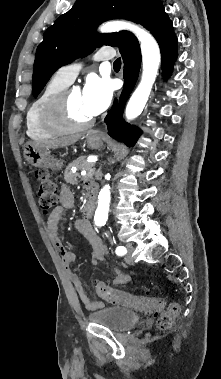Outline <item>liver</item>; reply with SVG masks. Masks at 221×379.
<instances>
[{
	"label": "liver",
	"mask_w": 221,
	"mask_h": 379,
	"mask_svg": "<svg viewBox=\"0 0 221 379\" xmlns=\"http://www.w3.org/2000/svg\"><path fill=\"white\" fill-rule=\"evenodd\" d=\"M80 137H81L80 134H76V135H71V136H67V137H63L59 139L40 141V142H28L27 144L33 145L38 148L49 150V149H56V148L72 145L76 143L80 139Z\"/></svg>",
	"instance_id": "liver-1"
}]
</instances>
